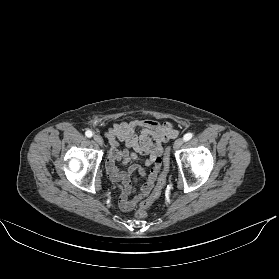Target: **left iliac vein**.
<instances>
[{"label": "left iliac vein", "instance_id": "4c4485c4", "mask_svg": "<svg viewBox=\"0 0 279 279\" xmlns=\"http://www.w3.org/2000/svg\"><path fill=\"white\" fill-rule=\"evenodd\" d=\"M183 144H184V139L183 138H178L173 144V149L178 150L179 148H181V146Z\"/></svg>", "mask_w": 279, "mask_h": 279}]
</instances>
